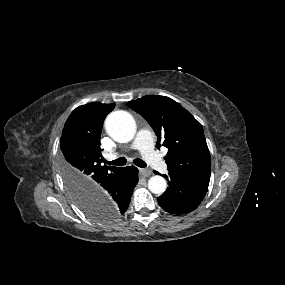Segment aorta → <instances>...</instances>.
Segmentation results:
<instances>
[{"instance_id": "1", "label": "aorta", "mask_w": 285, "mask_h": 285, "mask_svg": "<svg viewBox=\"0 0 285 285\" xmlns=\"http://www.w3.org/2000/svg\"><path fill=\"white\" fill-rule=\"evenodd\" d=\"M108 135L117 142L131 141L136 132L134 118L126 111H115L108 115L105 121ZM148 188L154 194H162L167 188L166 180L161 176H153L148 181Z\"/></svg>"}]
</instances>
